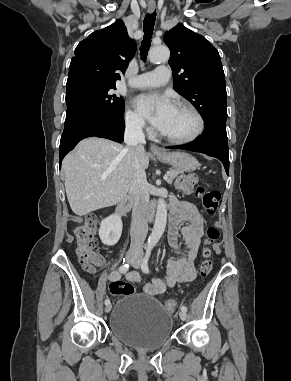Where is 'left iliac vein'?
Instances as JSON below:
<instances>
[{
    "mask_svg": "<svg viewBox=\"0 0 291 381\" xmlns=\"http://www.w3.org/2000/svg\"><path fill=\"white\" fill-rule=\"evenodd\" d=\"M140 264H141V258H140V256H138L137 257V259H136V261H134L133 263H132V265H133V267L134 268H140ZM179 316H180V319L181 320H186V318H187V313L186 312H184V311H181L180 313H179Z\"/></svg>",
    "mask_w": 291,
    "mask_h": 381,
    "instance_id": "left-iliac-vein-1",
    "label": "left iliac vein"
}]
</instances>
